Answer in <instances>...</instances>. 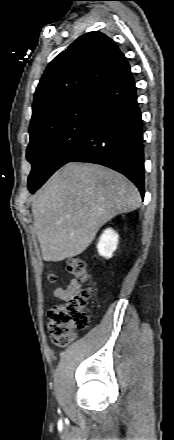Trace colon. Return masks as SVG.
Instances as JSON below:
<instances>
[{"mask_svg":"<svg viewBox=\"0 0 174 440\" xmlns=\"http://www.w3.org/2000/svg\"><path fill=\"white\" fill-rule=\"evenodd\" d=\"M68 271L77 279L89 282L91 279L86 263L79 257L67 260ZM50 282L56 280L53 273L48 274ZM91 298V289H85L66 302L53 305L48 312L47 331L52 343L65 347L73 340V332L88 325L86 305Z\"/></svg>","mask_w":174,"mask_h":440,"instance_id":"5ec220e1","label":"colon"}]
</instances>
